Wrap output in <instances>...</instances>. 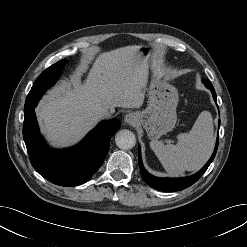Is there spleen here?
I'll return each instance as SVG.
<instances>
[{
    "mask_svg": "<svg viewBox=\"0 0 247 247\" xmlns=\"http://www.w3.org/2000/svg\"><path fill=\"white\" fill-rule=\"evenodd\" d=\"M215 145L213 120L211 113L203 111L188 133L178 135V143L164 144L152 140L151 149L165 168L173 175L184 171L200 169L209 159Z\"/></svg>",
    "mask_w": 247,
    "mask_h": 247,
    "instance_id": "obj_1",
    "label": "spleen"
}]
</instances>
